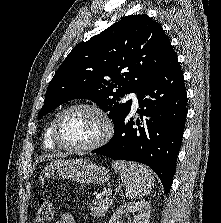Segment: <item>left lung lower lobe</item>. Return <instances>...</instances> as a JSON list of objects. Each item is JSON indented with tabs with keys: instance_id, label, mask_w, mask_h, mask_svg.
<instances>
[{
	"instance_id": "0a47b994",
	"label": "left lung lower lobe",
	"mask_w": 221,
	"mask_h": 223,
	"mask_svg": "<svg viewBox=\"0 0 221 223\" xmlns=\"http://www.w3.org/2000/svg\"><path fill=\"white\" fill-rule=\"evenodd\" d=\"M137 98L140 119L136 124L128 117L129 110L112 139L91 152L146 164L158 175L168 194L188 111L183 73L171 44L161 67Z\"/></svg>"
}]
</instances>
